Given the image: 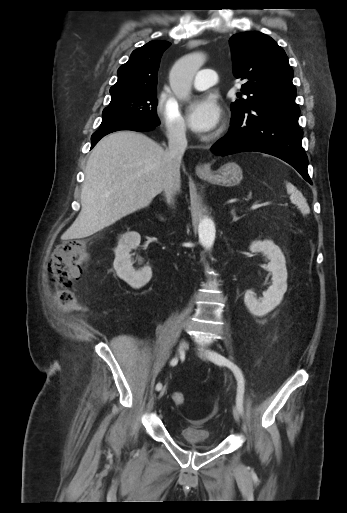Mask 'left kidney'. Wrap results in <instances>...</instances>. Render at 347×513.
I'll use <instances>...</instances> for the list:
<instances>
[{
    "label": "left kidney",
    "mask_w": 347,
    "mask_h": 513,
    "mask_svg": "<svg viewBox=\"0 0 347 513\" xmlns=\"http://www.w3.org/2000/svg\"><path fill=\"white\" fill-rule=\"evenodd\" d=\"M249 249L251 252H261L270 260L268 269L272 273V285L260 299L255 297L252 290L246 291L244 296V303L250 313L256 316H264L281 303L287 290L286 261L281 249L271 240L254 241Z\"/></svg>",
    "instance_id": "left-kidney-1"
}]
</instances>
